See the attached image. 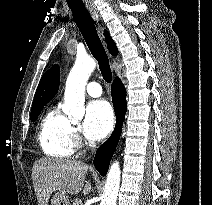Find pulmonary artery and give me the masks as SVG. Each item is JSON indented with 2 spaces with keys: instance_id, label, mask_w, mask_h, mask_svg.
I'll use <instances>...</instances> for the list:
<instances>
[{
  "instance_id": "1",
  "label": "pulmonary artery",
  "mask_w": 212,
  "mask_h": 205,
  "mask_svg": "<svg viewBox=\"0 0 212 205\" xmlns=\"http://www.w3.org/2000/svg\"><path fill=\"white\" fill-rule=\"evenodd\" d=\"M87 93L92 97H99L102 94V88L97 82H89L86 86Z\"/></svg>"
}]
</instances>
